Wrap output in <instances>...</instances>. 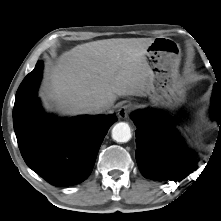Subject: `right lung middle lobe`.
I'll return each instance as SVG.
<instances>
[{"instance_id":"right-lung-middle-lobe-1","label":"right lung middle lobe","mask_w":221,"mask_h":221,"mask_svg":"<svg viewBox=\"0 0 221 221\" xmlns=\"http://www.w3.org/2000/svg\"><path fill=\"white\" fill-rule=\"evenodd\" d=\"M22 116H23V112H21L18 117L21 118Z\"/></svg>"}]
</instances>
